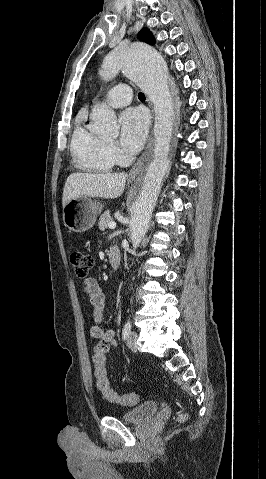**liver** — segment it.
Segmentation results:
<instances>
[{"label":"liver","mask_w":266,"mask_h":479,"mask_svg":"<svg viewBox=\"0 0 266 479\" xmlns=\"http://www.w3.org/2000/svg\"><path fill=\"white\" fill-rule=\"evenodd\" d=\"M126 180L125 173H72L65 182L62 205L82 196L117 198L123 193Z\"/></svg>","instance_id":"1"}]
</instances>
